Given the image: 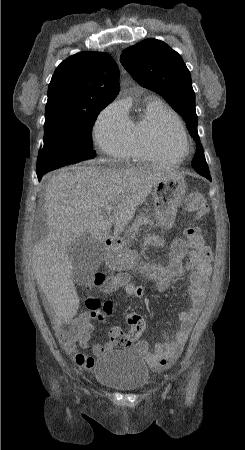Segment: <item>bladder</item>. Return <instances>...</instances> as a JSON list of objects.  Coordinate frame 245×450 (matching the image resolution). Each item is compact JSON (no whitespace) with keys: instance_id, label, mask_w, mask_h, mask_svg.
Listing matches in <instances>:
<instances>
[{"instance_id":"bladder-1","label":"bladder","mask_w":245,"mask_h":450,"mask_svg":"<svg viewBox=\"0 0 245 450\" xmlns=\"http://www.w3.org/2000/svg\"><path fill=\"white\" fill-rule=\"evenodd\" d=\"M95 379L111 389L136 393L148 384L149 371L140 355L124 347L102 356L94 365Z\"/></svg>"}]
</instances>
